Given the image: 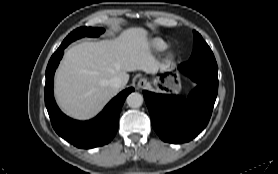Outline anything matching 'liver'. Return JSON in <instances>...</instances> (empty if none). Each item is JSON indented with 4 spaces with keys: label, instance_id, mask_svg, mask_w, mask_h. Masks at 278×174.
I'll return each mask as SVG.
<instances>
[{
    "label": "liver",
    "instance_id": "6515ba94",
    "mask_svg": "<svg viewBox=\"0 0 278 174\" xmlns=\"http://www.w3.org/2000/svg\"><path fill=\"white\" fill-rule=\"evenodd\" d=\"M148 32L131 27L112 40L85 41L65 52L55 75L54 93L61 110L70 117L87 120L96 116L118 93L109 85L120 77L124 87L136 70L156 74L163 65L154 57Z\"/></svg>",
    "mask_w": 278,
    "mask_h": 174
}]
</instances>
